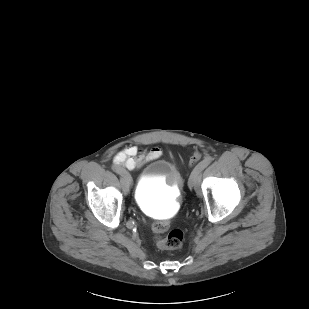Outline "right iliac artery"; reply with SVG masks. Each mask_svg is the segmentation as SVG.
Masks as SVG:
<instances>
[{
	"label": "right iliac artery",
	"mask_w": 309,
	"mask_h": 309,
	"mask_svg": "<svg viewBox=\"0 0 309 309\" xmlns=\"http://www.w3.org/2000/svg\"><path fill=\"white\" fill-rule=\"evenodd\" d=\"M113 170L118 173L120 176L125 175L126 178H130L131 174L130 173H126V170H122L120 167L118 166H113Z\"/></svg>",
	"instance_id": "obj_1"
}]
</instances>
